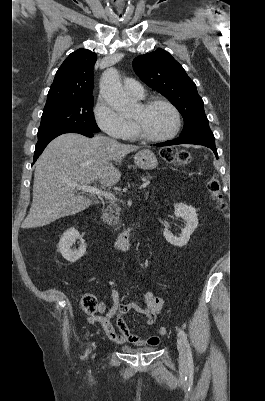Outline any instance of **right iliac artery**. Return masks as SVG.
<instances>
[{
    "label": "right iliac artery",
    "instance_id": "right-iliac-artery-1",
    "mask_svg": "<svg viewBox=\"0 0 265 401\" xmlns=\"http://www.w3.org/2000/svg\"><path fill=\"white\" fill-rule=\"evenodd\" d=\"M88 351H89V349H87V351H86V353H85V357H87V355H88Z\"/></svg>",
    "mask_w": 265,
    "mask_h": 401
}]
</instances>
